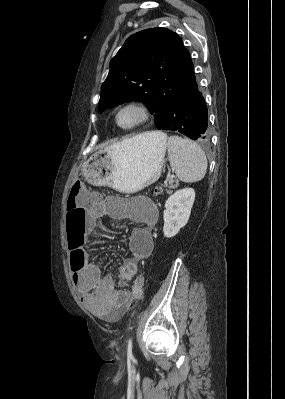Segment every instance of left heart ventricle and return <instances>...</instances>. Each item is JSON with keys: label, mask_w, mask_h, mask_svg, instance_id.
Segmentation results:
<instances>
[{"label": "left heart ventricle", "mask_w": 285, "mask_h": 399, "mask_svg": "<svg viewBox=\"0 0 285 399\" xmlns=\"http://www.w3.org/2000/svg\"><path fill=\"white\" fill-rule=\"evenodd\" d=\"M138 113L134 110H128L121 114L119 121L124 126L133 124L138 119Z\"/></svg>", "instance_id": "b2bd125f"}]
</instances>
